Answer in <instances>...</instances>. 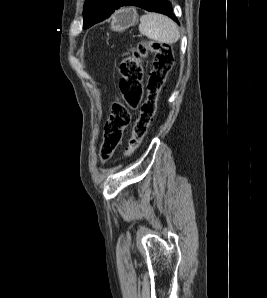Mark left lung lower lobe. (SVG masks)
Returning <instances> with one entry per match:
<instances>
[{
	"label": "left lung lower lobe",
	"instance_id": "1",
	"mask_svg": "<svg viewBox=\"0 0 267 298\" xmlns=\"http://www.w3.org/2000/svg\"><path fill=\"white\" fill-rule=\"evenodd\" d=\"M121 6H137L148 11L162 13L178 22L172 13V7L170 3L167 0H116L109 10L92 17L84 28H89L92 25L105 20Z\"/></svg>",
	"mask_w": 267,
	"mask_h": 298
}]
</instances>
